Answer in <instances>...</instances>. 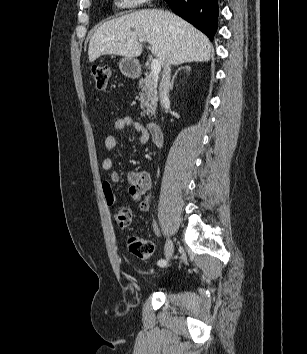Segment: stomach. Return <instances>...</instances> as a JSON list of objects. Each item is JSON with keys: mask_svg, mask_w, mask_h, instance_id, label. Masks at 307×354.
Here are the masks:
<instances>
[{"mask_svg": "<svg viewBox=\"0 0 307 354\" xmlns=\"http://www.w3.org/2000/svg\"><path fill=\"white\" fill-rule=\"evenodd\" d=\"M122 74L129 78H136L140 75V65L137 59L124 57L119 62Z\"/></svg>", "mask_w": 307, "mask_h": 354, "instance_id": "stomach-1", "label": "stomach"}]
</instances>
